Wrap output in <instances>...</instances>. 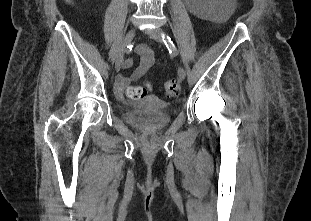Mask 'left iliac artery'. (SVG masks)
<instances>
[{
  "instance_id": "1",
  "label": "left iliac artery",
  "mask_w": 311,
  "mask_h": 221,
  "mask_svg": "<svg viewBox=\"0 0 311 221\" xmlns=\"http://www.w3.org/2000/svg\"><path fill=\"white\" fill-rule=\"evenodd\" d=\"M162 38H163V41H164L165 45L167 46L170 54L171 55H177L178 51H177V48H176L175 44L173 43L172 39L166 34H162Z\"/></svg>"
}]
</instances>
